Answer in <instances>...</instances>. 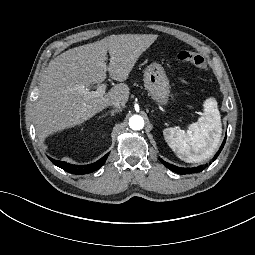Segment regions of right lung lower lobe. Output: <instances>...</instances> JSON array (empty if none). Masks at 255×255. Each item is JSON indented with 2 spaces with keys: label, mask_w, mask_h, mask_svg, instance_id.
<instances>
[{
  "label": "right lung lower lobe",
  "mask_w": 255,
  "mask_h": 255,
  "mask_svg": "<svg viewBox=\"0 0 255 255\" xmlns=\"http://www.w3.org/2000/svg\"><path fill=\"white\" fill-rule=\"evenodd\" d=\"M107 157H108V154L103 156L97 162H95L93 164H89V165H73V164H69L67 162H61V161L54 160L52 158H49V159L53 162V164L62 168L66 172H69L72 174H88V173L98 170L105 163Z\"/></svg>",
  "instance_id": "right-lung-lower-lobe-1"
}]
</instances>
